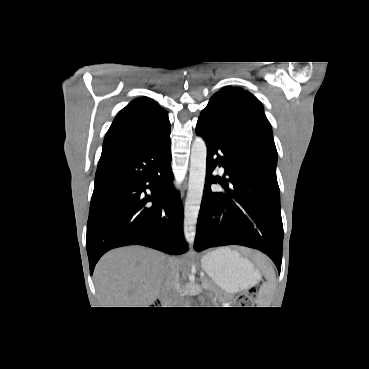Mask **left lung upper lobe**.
Segmentation results:
<instances>
[{
    "instance_id": "left-lung-upper-lobe-1",
    "label": "left lung upper lobe",
    "mask_w": 369,
    "mask_h": 369,
    "mask_svg": "<svg viewBox=\"0 0 369 369\" xmlns=\"http://www.w3.org/2000/svg\"><path fill=\"white\" fill-rule=\"evenodd\" d=\"M199 119L209 122L230 143L254 153L276 177L277 150L271 125L255 96L225 87L211 97Z\"/></svg>"
}]
</instances>
